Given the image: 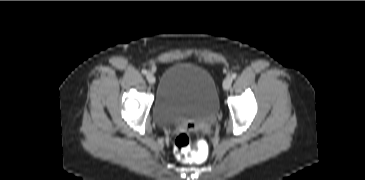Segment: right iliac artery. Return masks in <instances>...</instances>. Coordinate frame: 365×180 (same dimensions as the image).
Masks as SVG:
<instances>
[{
  "label": "right iliac artery",
  "mask_w": 365,
  "mask_h": 180,
  "mask_svg": "<svg viewBox=\"0 0 365 180\" xmlns=\"http://www.w3.org/2000/svg\"><path fill=\"white\" fill-rule=\"evenodd\" d=\"M142 73L145 75L147 74V70L146 69H142Z\"/></svg>",
  "instance_id": "obj_1"
}]
</instances>
